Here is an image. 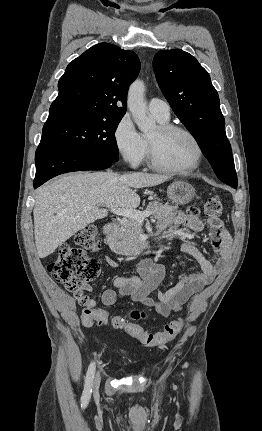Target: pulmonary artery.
I'll return each mask as SVG.
<instances>
[{
  "label": "pulmonary artery",
  "mask_w": 262,
  "mask_h": 431,
  "mask_svg": "<svg viewBox=\"0 0 262 431\" xmlns=\"http://www.w3.org/2000/svg\"><path fill=\"white\" fill-rule=\"evenodd\" d=\"M149 111L159 119L166 120L170 117V108L167 102L159 98H152L148 104Z\"/></svg>",
  "instance_id": "e3ab8cb5"
}]
</instances>
